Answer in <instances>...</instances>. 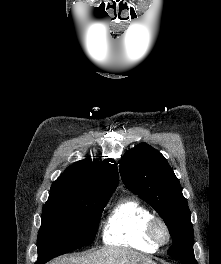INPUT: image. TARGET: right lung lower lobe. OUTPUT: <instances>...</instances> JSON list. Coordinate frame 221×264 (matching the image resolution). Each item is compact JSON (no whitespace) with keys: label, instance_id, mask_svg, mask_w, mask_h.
Here are the masks:
<instances>
[{"label":"right lung lower lobe","instance_id":"98d812e1","mask_svg":"<svg viewBox=\"0 0 221 264\" xmlns=\"http://www.w3.org/2000/svg\"><path fill=\"white\" fill-rule=\"evenodd\" d=\"M35 264H44L43 262H39V261H37Z\"/></svg>","mask_w":221,"mask_h":264}]
</instances>
